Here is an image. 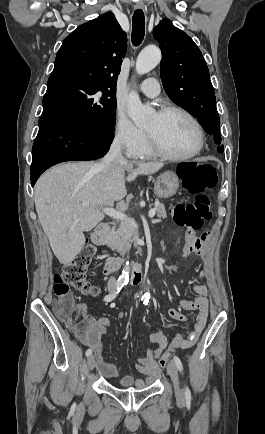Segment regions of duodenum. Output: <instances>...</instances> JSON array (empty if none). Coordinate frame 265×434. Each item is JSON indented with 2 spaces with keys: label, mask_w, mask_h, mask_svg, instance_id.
Wrapping results in <instances>:
<instances>
[{
  "label": "duodenum",
  "mask_w": 265,
  "mask_h": 434,
  "mask_svg": "<svg viewBox=\"0 0 265 434\" xmlns=\"http://www.w3.org/2000/svg\"><path fill=\"white\" fill-rule=\"evenodd\" d=\"M112 228L105 224L98 225L91 234L90 240L94 244H104L105 237L110 235ZM125 261L116 259L109 256L102 262L103 272L108 275H118L122 272V269L126 267ZM132 275L130 277L131 283L140 284L145 281L147 274L143 264L130 265Z\"/></svg>",
  "instance_id": "1"
}]
</instances>
